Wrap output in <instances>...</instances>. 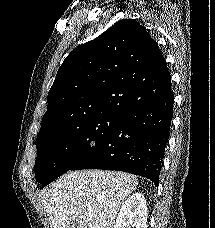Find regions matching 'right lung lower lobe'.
<instances>
[{"label":"right lung lower lobe","mask_w":215,"mask_h":228,"mask_svg":"<svg viewBox=\"0 0 215 228\" xmlns=\"http://www.w3.org/2000/svg\"><path fill=\"white\" fill-rule=\"evenodd\" d=\"M169 90L127 112L121 121L70 170L124 171L150 179L156 186L169 139L174 95Z\"/></svg>","instance_id":"98d812e1"}]
</instances>
